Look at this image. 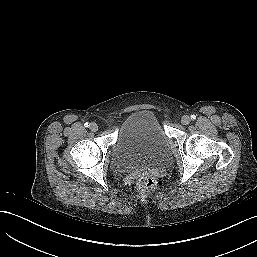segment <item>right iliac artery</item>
I'll list each match as a JSON object with an SVG mask.
<instances>
[{"instance_id": "82829eb1", "label": "right iliac artery", "mask_w": 257, "mask_h": 257, "mask_svg": "<svg viewBox=\"0 0 257 257\" xmlns=\"http://www.w3.org/2000/svg\"><path fill=\"white\" fill-rule=\"evenodd\" d=\"M84 126H85V127H89L90 125H89L88 122H86V123L84 124Z\"/></svg>"}]
</instances>
